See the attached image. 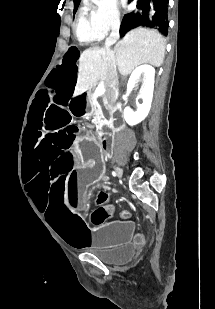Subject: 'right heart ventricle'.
<instances>
[{"label":"right heart ventricle","mask_w":215,"mask_h":309,"mask_svg":"<svg viewBox=\"0 0 215 309\" xmlns=\"http://www.w3.org/2000/svg\"><path fill=\"white\" fill-rule=\"evenodd\" d=\"M76 33L78 35L79 41L83 42L92 37V34H98V27H94V19H77Z\"/></svg>","instance_id":"1"}]
</instances>
